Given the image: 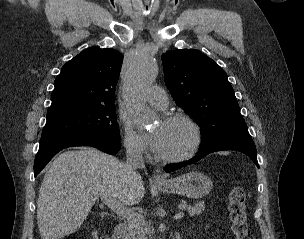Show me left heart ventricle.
I'll return each instance as SVG.
<instances>
[{"label": "left heart ventricle", "instance_id": "1", "mask_svg": "<svg viewBox=\"0 0 304 239\" xmlns=\"http://www.w3.org/2000/svg\"><path fill=\"white\" fill-rule=\"evenodd\" d=\"M162 131V142L158 154L175 155L185 151L192 141L191 129L182 122H160L155 128Z\"/></svg>", "mask_w": 304, "mask_h": 239}]
</instances>
